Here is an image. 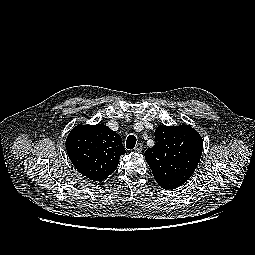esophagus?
Instances as JSON below:
<instances>
[{"label":"esophagus","instance_id":"obj_1","mask_svg":"<svg viewBox=\"0 0 255 255\" xmlns=\"http://www.w3.org/2000/svg\"><path fill=\"white\" fill-rule=\"evenodd\" d=\"M142 144L141 143H138L135 148L133 149L134 152L136 153H140L142 151Z\"/></svg>","mask_w":255,"mask_h":255}]
</instances>
